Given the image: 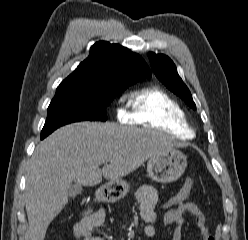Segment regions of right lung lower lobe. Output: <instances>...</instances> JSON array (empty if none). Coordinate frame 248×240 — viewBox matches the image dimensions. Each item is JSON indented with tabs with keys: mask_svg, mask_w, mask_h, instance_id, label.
<instances>
[{
	"mask_svg": "<svg viewBox=\"0 0 248 240\" xmlns=\"http://www.w3.org/2000/svg\"><path fill=\"white\" fill-rule=\"evenodd\" d=\"M43 138H45V137L41 136V139H43Z\"/></svg>",
	"mask_w": 248,
	"mask_h": 240,
	"instance_id": "right-lung-lower-lobe-1",
	"label": "right lung lower lobe"
}]
</instances>
